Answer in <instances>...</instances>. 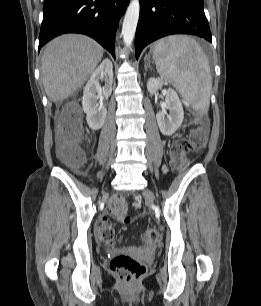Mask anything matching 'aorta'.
I'll return each instance as SVG.
<instances>
[{"label": "aorta", "mask_w": 261, "mask_h": 306, "mask_svg": "<svg viewBox=\"0 0 261 306\" xmlns=\"http://www.w3.org/2000/svg\"><path fill=\"white\" fill-rule=\"evenodd\" d=\"M139 13V0H132L127 8L122 25L123 42L127 47H130L133 42L139 20Z\"/></svg>", "instance_id": "obj_1"}]
</instances>
